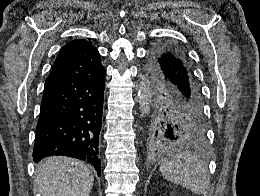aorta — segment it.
<instances>
[{"label":"aorta","instance_id":"obj_1","mask_svg":"<svg viewBox=\"0 0 260 196\" xmlns=\"http://www.w3.org/2000/svg\"><path fill=\"white\" fill-rule=\"evenodd\" d=\"M150 81L147 74L141 76V81L138 86L139 108L141 114L144 116L150 110Z\"/></svg>","mask_w":260,"mask_h":196}]
</instances>
